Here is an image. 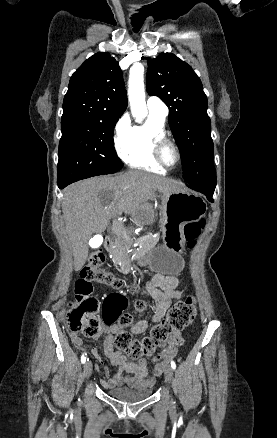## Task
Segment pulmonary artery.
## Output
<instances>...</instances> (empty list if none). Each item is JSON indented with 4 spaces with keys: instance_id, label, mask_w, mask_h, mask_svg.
Segmentation results:
<instances>
[{
    "instance_id": "e3ab8cb5",
    "label": "pulmonary artery",
    "mask_w": 277,
    "mask_h": 438,
    "mask_svg": "<svg viewBox=\"0 0 277 438\" xmlns=\"http://www.w3.org/2000/svg\"><path fill=\"white\" fill-rule=\"evenodd\" d=\"M143 109H145L148 114L162 120H165L169 114L168 107L161 102L159 95H150L148 100L143 104Z\"/></svg>"
}]
</instances>
